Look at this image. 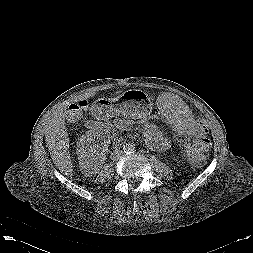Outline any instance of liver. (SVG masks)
<instances>
[{
  "instance_id": "6515ba94",
  "label": "liver",
  "mask_w": 253,
  "mask_h": 253,
  "mask_svg": "<svg viewBox=\"0 0 253 253\" xmlns=\"http://www.w3.org/2000/svg\"><path fill=\"white\" fill-rule=\"evenodd\" d=\"M123 93L121 90L116 94ZM95 95V92H87L75 96L72 102H79L89 99ZM46 142L50 151L51 158L55 166L66 176L73 174V165L69 154V137L65 127L64 108L58 107L49 117L45 129Z\"/></svg>"
}]
</instances>
